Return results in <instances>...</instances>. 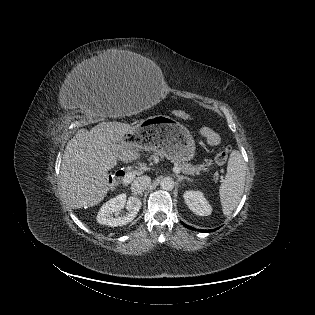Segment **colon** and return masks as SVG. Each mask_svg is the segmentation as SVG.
<instances>
[{
  "instance_id": "obj_1",
  "label": "colon",
  "mask_w": 315,
  "mask_h": 315,
  "mask_svg": "<svg viewBox=\"0 0 315 315\" xmlns=\"http://www.w3.org/2000/svg\"><path fill=\"white\" fill-rule=\"evenodd\" d=\"M175 115L183 120H188L190 119V116L185 112V111H176ZM229 151L230 149L228 147L222 149L219 151L215 157V162L218 165H223L227 162L228 157H229Z\"/></svg>"
}]
</instances>
